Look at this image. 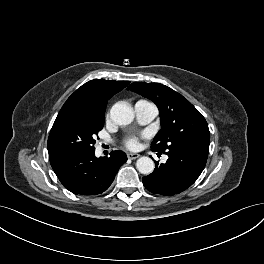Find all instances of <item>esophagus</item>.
I'll list each match as a JSON object with an SVG mask.
<instances>
[{
    "label": "esophagus",
    "mask_w": 264,
    "mask_h": 264,
    "mask_svg": "<svg viewBox=\"0 0 264 264\" xmlns=\"http://www.w3.org/2000/svg\"><path fill=\"white\" fill-rule=\"evenodd\" d=\"M127 157H128L129 159L134 160V159L139 158L140 155H139V154H136V153H128V154H127Z\"/></svg>",
    "instance_id": "esophagus-1"
}]
</instances>
